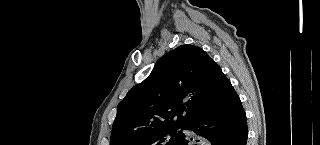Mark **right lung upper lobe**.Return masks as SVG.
I'll list each match as a JSON object with an SVG mask.
<instances>
[{"label": "right lung upper lobe", "mask_w": 320, "mask_h": 145, "mask_svg": "<svg viewBox=\"0 0 320 145\" xmlns=\"http://www.w3.org/2000/svg\"><path fill=\"white\" fill-rule=\"evenodd\" d=\"M222 76L200 47L185 44L162 56L118 105L110 145H132L154 131L186 126L209 110Z\"/></svg>", "instance_id": "right-lung-upper-lobe-1"}]
</instances>
